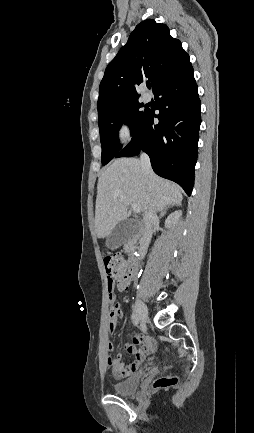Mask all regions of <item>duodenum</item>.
<instances>
[{
	"label": "duodenum",
	"instance_id": "duodenum-1",
	"mask_svg": "<svg viewBox=\"0 0 254 433\" xmlns=\"http://www.w3.org/2000/svg\"><path fill=\"white\" fill-rule=\"evenodd\" d=\"M133 250V249H131ZM130 272L132 280L137 278L139 271V261L135 257H130L129 259Z\"/></svg>",
	"mask_w": 254,
	"mask_h": 433
}]
</instances>
